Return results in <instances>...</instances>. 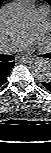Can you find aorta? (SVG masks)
<instances>
[{"label":"aorta","instance_id":"aorta-1","mask_svg":"<svg viewBox=\"0 0 51 153\" xmlns=\"http://www.w3.org/2000/svg\"><path fill=\"white\" fill-rule=\"evenodd\" d=\"M1 23L7 34L24 32L29 25V11L18 3L6 5L1 11ZM34 77L40 82L51 80V63L48 59L40 58L31 67Z\"/></svg>","mask_w":51,"mask_h":153}]
</instances>
